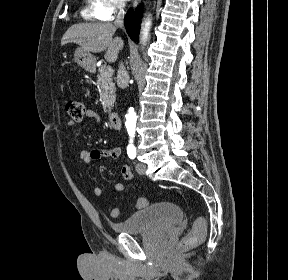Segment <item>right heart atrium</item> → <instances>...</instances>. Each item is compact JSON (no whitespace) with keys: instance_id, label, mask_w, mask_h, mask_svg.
Returning <instances> with one entry per match:
<instances>
[{"instance_id":"right-heart-atrium-1","label":"right heart atrium","mask_w":288,"mask_h":280,"mask_svg":"<svg viewBox=\"0 0 288 280\" xmlns=\"http://www.w3.org/2000/svg\"><path fill=\"white\" fill-rule=\"evenodd\" d=\"M124 6L125 0H98V17L102 21H110Z\"/></svg>"}]
</instances>
